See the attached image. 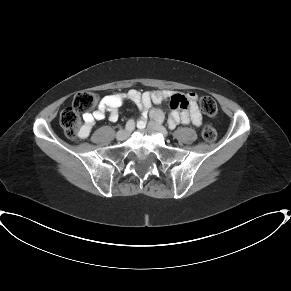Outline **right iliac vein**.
<instances>
[{
    "mask_svg": "<svg viewBox=\"0 0 291 291\" xmlns=\"http://www.w3.org/2000/svg\"><path fill=\"white\" fill-rule=\"evenodd\" d=\"M128 136H129V132L127 130H120L116 134V138L119 141L126 140L128 138Z\"/></svg>",
    "mask_w": 291,
    "mask_h": 291,
    "instance_id": "obj_1",
    "label": "right iliac vein"
}]
</instances>
